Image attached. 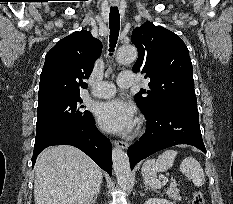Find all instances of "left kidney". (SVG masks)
I'll use <instances>...</instances> for the list:
<instances>
[{
    "label": "left kidney",
    "instance_id": "left-kidney-1",
    "mask_svg": "<svg viewBox=\"0 0 233 204\" xmlns=\"http://www.w3.org/2000/svg\"><path fill=\"white\" fill-rule=\"evenodd\" d=\"M145 204H173V203L166 199L151 198V199H148L145 202Z\"/></svg>",
    "mask_w": 233,
    "mask_h": 204
}]
</instances>
